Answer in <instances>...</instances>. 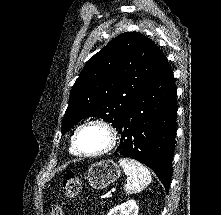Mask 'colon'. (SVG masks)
<instances>
[{
    "label": "colon",
    "mask_w": 221,
    "mask_h": 215,
    "mask_svg": "<svg viewBox=\"0 0 221 215\" xmlns=\"http://www.w3.org/2000/svg\"><path fill=\"white\" fill-rule=\"evenodd\" d=\"M80 179L75 172L69 171L63 180L61 193L67 199L75 198L80 190ZM49 215H64V208L60 204H53L49 208Z\"/></svg>",
    "instance_id": "5ec220e1"
}]
</instances>
